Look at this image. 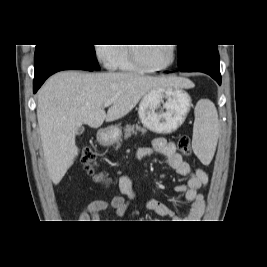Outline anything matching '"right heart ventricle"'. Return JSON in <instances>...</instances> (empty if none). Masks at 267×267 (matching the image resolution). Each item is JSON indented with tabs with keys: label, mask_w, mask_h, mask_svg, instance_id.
<instances>
[{
	"label": "right heart ventricle",
	"mask_w": 267,
	"mask_h": 267,
	"mask_svg": "<svg viewBox=\"0 0 267 267\" xmlns=\"http://www.w3.org/2000/svg\"><path fill=\"white\" fill-rule=\"evenodd\" d=\"M114 68L121 71H138L139 69L135 67L129 58L128 49L125 46L117 47Z\"/></svg>",
	"instance_id": "e07e8e85"
}]
</instances>
